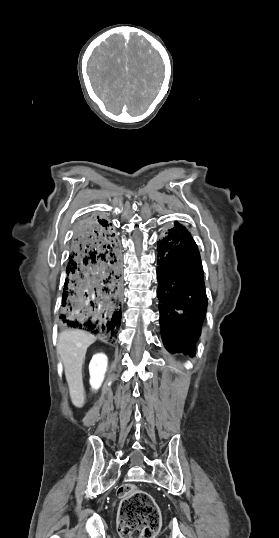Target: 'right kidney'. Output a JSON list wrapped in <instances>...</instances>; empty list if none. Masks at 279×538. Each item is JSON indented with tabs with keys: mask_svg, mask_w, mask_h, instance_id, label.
I'll return each instance as SVG.
<instances>
[{
	"mask_svg": "<svg viewBox=\"0 0 279 538\" xmlns=\"http://www.w3.org/2000/svg\"><path fill=\"white\" fill-rule=\"evenodd\" d=\"M107 368V356L105 354H95L89 364L90 372V384L94 390L100 388L103 380L104 374Z\"/></svg>",
	"mask_w": 279,
	"mask_h": 538,
	"instance_id": "right-kidney-1",
	"label": "right kidney"
}]
</instances>
